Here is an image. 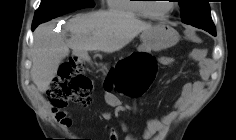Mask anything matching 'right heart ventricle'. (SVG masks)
Segmentation results:
<instances>
[{
  "label": "right heart ventricle",
  "mask_w": 236,
  "mask_h": 140,
  "mask_svg": "<svg viewBox=\"0 0 236 140\" xmlns=\"http://www.w3.org/2000/svg\"><path fill=\"white\" fill-rule=\"evenodd\" d=\"M140 0H108L109 8L114 12L126 13L133 16H146Z\"/></svg>",
  "instance_id": "right-heart-ventricle-1"
}]
</instances>
